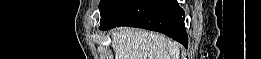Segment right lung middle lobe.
Segmentation results:
<instances>
[{"mask_svg": "<svg viewBox=\"0 0 261 59\" xmlns=\"http://www.w3.org/2000/svg\"><path fill=\"white\" fill-rule=\"evenodd\" d=\"M120 0H101L99 5L100 14L105 15L111 11Z\"/></svg>", "mask_w": 261, "mask_h": 59, "instance_id": "obj_1", "label": "right lung middle lobe"}]
</instances>
